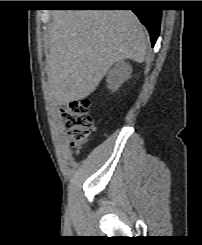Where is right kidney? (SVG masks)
Listing matches in <instances>:
<instances>
[{"mask_svg":"<svg viewBox=\"0 0 202 245\" xmlns=\"http://www.w3.org/2000/svg\"><path fill=\"white\" fill-rule=\"evenodd\" d=\"M132 72V67L123 61L117 62L115 66L109 71L107 76V87L116 91L121 84L126 81Z\"/></svg>","mask_w":202,"mask_h":245,"instance_id":"1","label":"right kidney"}]
</instances>
